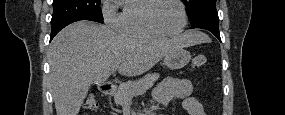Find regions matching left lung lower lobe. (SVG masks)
<instances>
[{
    "label": "left lung lower lobe",
    "instance_id": "1",
    "mask_svg": "<svg viewBox=\"0 0 285 115\" xmlns=\"http://www.w3.org/2000/svg\"><path fill=\"white\" fill-rule=\"evenodd\" d=\"M191 29L202 28L212 32L220 41L219 17L217 11L207 12L200 15L192 23Z\"/></svg>",
    "mask_w": 285,
    "mask_h": 115
}]
</instances>
